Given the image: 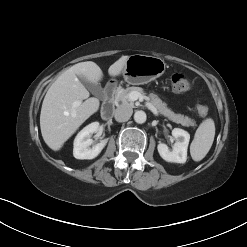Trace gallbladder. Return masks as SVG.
I'll return each instance as SVG.
<instances>
[{
	"mask_svg": "<svg viewBox=\"0 0 247 247\" xmlns=\"http://www.w3.org/2000/svg\"><path fill=\"white\" fill-rule=\"evenodd\" d=\"M79 80L88 88V90L95 96L102 94V87L99 84L91 83L83 77H79Z\"/></svg>",
	"mask_w": 247,
	"mask_h": 247,
	"instance_id": "obj_1",
	"label": "gallbladder"
}]
</instances>
